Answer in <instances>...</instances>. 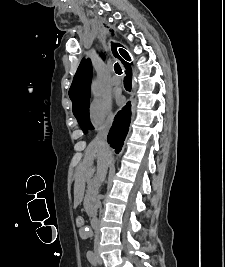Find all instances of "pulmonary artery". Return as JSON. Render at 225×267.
Wrapping results in <instances>:
<instances>
[{"mask_svg": "<svg viewBox=\"0 0 225 267\" xmlns=\"http://www.w3.org/2000/svg\"><path fill=\"white\" fill-rule=\"evenodd\" d=\"M111 81L114 85L121 84V78L118 75H113Z\"/></svg>", "mask_w": 225, "mask_h": 267, "instance_id": "pulmonary-artery-1", "label": "pulmonary artery"}]
</instances>
